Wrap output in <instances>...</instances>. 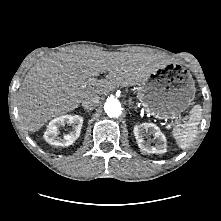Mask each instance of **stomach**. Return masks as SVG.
Instances as JSON below:
<instances>
[{
  "label": "stomach",
  "instance_id": "stomach-1",
  "mask_svg": "<svg viewBox=\"0 0 221 221\" xmlns=\"http://www.w3.org/2000/svg\"><path fill=\"white\" fill-rule=\"evenodd\" d=\"M195 92L194 80L188 72L158 68L138 83L137 98L152 116L169 119L189 107Z\"/></svg>",
  "mask_w": 221,
  "mask_h": 221
}]
</instances>
